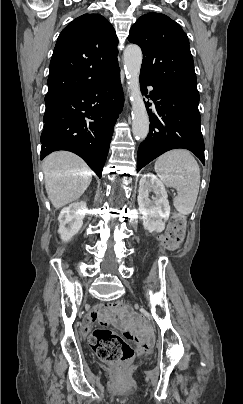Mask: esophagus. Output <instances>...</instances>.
Returning a JSON list of instances; mask_svg holds the SVG:
<instances>
[{"label": "esophagus", "instance_id": "34e87169", "mask_svg": "<svg viewBox=\"0 0 243 404\" xmlns=\"http://www.w3.org/2000/svg\"><path fill=\"white\" fill-rule=\"evenodd\" d=\"M125 91H126V103L128 104V100H129V92L127 90V87L125 86Z\"/></svg>", "mask_w": 243, "mask_h": 404}]
</instances>
